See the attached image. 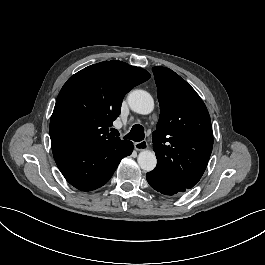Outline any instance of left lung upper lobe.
I'll list each match as a JSON object with an SVG mask.
<instances>
[{"label":"left lung upper lobe","mask_w":265,"mask_h":265,"mask_svg":"<svg viewBox=\"0 0 265 265\" xmlns=\"http://www.w3.org/2000/svg\"><path fill=\"white\" fill-rule=\"evenodd\" d=\"M160 117L152 133L155 170L191 189L201 179L213 148L208 110L196 91L178 74L153 67Z\"/></svg>","instance_id":"5c2ea615"}]
</instances>
